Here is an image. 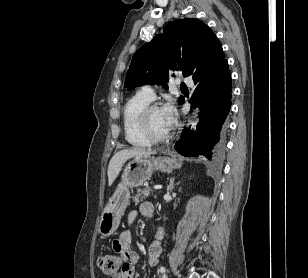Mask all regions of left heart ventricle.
I'll list each match as a JSON object with an SVG mask.
<instances>
[{
  "label": "left heart ventricle",
  "mask_w": 308,
  "mask_h": 278,
  "mask_svg": "<svg viewBox=\"0 0 308 278\" xmlns=\"http://www.w3.org/2000/svg\"><path fill=\"white\" fill-rule=\"evenodd\" d=\"M149 125L151 130L156 135H165L168 132L166 128L160 109L154 110L149 115Z\"/></svg>",
  "instance_id": "1"
}]
</instances>
